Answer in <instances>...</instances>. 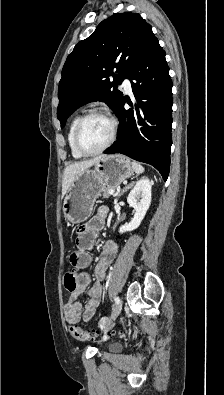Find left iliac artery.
<instances>
[{"instance_id":"1","label":"left iliac artery","mask_w":224,"mask_h":395,"mask_svg":"<svg viewBox=\"0 0 224 395\" xmlns=\"http://www.w3.org/2000/svg\"><path fill=\"white\" fill-rule=\"evenodd\" d=\"M114 301L117 304L119 302V297H114Z\"/></svg>"}]
</instances>
